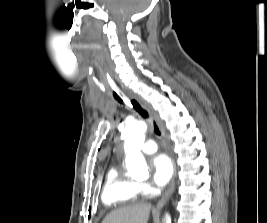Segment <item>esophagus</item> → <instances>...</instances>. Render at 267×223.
Segmentation results:
<instances>
[{
    "label": "esophagus",
    "instance_id": "obj_1",
    "mask_svg": "<svg viewBox=\"0 0 267 223\" xmlns=\"http://www.w3.org/2000/svg\"><path fill=\"white\" fill-rule=\"evenodd\" d=\"M150 110H151V113H152L153 117L155 118V120L158 124V127L160 128L163 136H165V128H164L162 121L160 120V118L158 117V115L155 111H153L152 109H150ZM173 191H174V184L172 183L170 188L165 192V194L162 196V198L157 203V208L162 207L168 201V199L172 195Z\"/></svg>",
    "mask_w": 267,
    "mask_h": 223
}]
</instances>
